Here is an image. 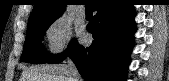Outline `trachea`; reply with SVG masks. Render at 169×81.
Segmentation results:
<instances>
[{
    "mask_svg": "<svg viewBox=\"0 0 169 81\" xmlns=\"http://www.w3.org/2000/svg\"><path fill=\"white\" fill-rule=\"evenodd\" d=\"M84 5H85L86 10H92L93 9V3L91 1H86Z\"/></svg>",
    "mask_w": 169,
    "mask_h": 81,
    "instance_id": "3493384b",
    "label": "trachea"
}]
</instances>
